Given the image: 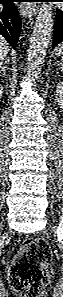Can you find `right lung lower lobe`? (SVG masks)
Listing matches in <instances>:
<instances>
[{
	"mask_svg": "<svg viewBox=\"0 0 63 297\" xmlns=\"http://www.w3.org/2000/svg\"><path fill=\"white\" fill-rule=\"evenodd\" d=\"M14 0H6L0 11V34L15 49L21 31V20Z\"/></svg>",
	"mask_w": 63,
	"mask_h": 297,
	"instance_id": "1",
	"label": "right lung lower lobe"
}]
</instances>
